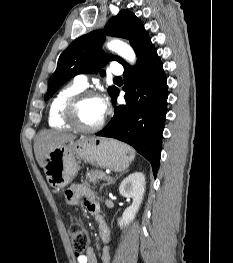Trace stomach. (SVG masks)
<instances>
[{
    "label": "stomach",
    "mask_w": 233,
    "mask_h": 263,
    "mask_svg": "<svg viewBox=\"0 0 233 263\" xmlns=\"http://www.w3.org/2000/svg\"><path fill=\"white\" fill-rule=\"evenodd\" d=\"M134 157L132 148L117 140L81 136L51 150L43 169L50 186L61 189L77 175L80 160L121 172L129 167Z\"/></svg>",
    "instance_id": "1"
}]
</instances>
